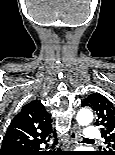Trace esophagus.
Masks as SVG:
<instances>
[{"instance_id": "obj_1", "label": "esophagus", "mask_w": 115, "mask_h": 155, "mask_svg": "<svg viewBox=\"0 0 115 155\" xmlns=\"http://www.w3.org/2000/svg\"><path fill=\"white\" fill-rule=\"evenodd\" d=\"M79 134H80V128L77 125H74L71 132H70V149H74L77 146V143L79 141Z\"/></svg>"}]
</instances>
